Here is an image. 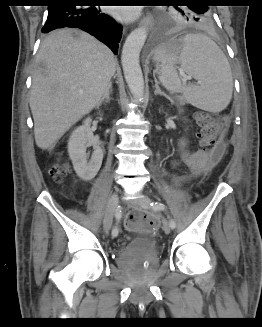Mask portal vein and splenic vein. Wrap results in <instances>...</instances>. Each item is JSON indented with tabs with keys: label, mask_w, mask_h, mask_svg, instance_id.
Listing matches in <instances>:
<instances>
[{
	"label": "portal vein and splenic vein",
	"mask_w": 262,
	"mask_h": 327,
	"mask_svg": "<svg viewBox=\"0 0 262 327\" xmlns=\"http://www.w3.org/2000/svg\"><path fill=\"white\" fill-rule=\"evenodd\" d=\"M189 79H190V77L185 76V77H184V82H186V81L189 80Z\"/></svg>",
	"instance_id": "portal-vein-and-splenic-vein-1"
}]
</instances>
